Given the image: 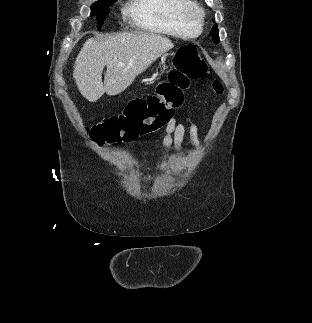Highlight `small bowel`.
I'll list each match as a JSON object with an SVG mask.
<instances>
[{
  "instance_id": "obj_1",
  "label": "small bowel",
  "mask_w": 312,
  "mask_h": 323,
  "mask_svg": "<svg viewBox=\"0 0 312 323\" xmlns=\"http://www.w3.org/2000/svg\"><path fill=\"white\" fill-rule=\"evenodd\" d=\"M165 131L166 135L162 139V145L165 148L164 157L168 156L170 149H174L177 156H184L183 141L187 131L192 147L198 152L201 151L200 130L190 116L186 117L185 122L178 121L172 117L166 125Z\"/></svg>"
}]
</instances>
